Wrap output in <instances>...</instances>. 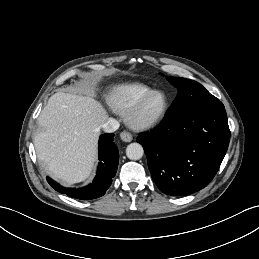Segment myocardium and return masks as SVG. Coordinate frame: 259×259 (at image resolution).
<instances>
[{
	"mask_svg": "<svg viewBox=\"0 0 259 259\" xmlns=\"http://www.w3.org/2000/svg\"><path fill=\"white\" fill-rule=\"evenodd\" d=\"M162 94L165 98L164 108L159 115L152 119H142L140 117L141 111L147 100L154 94ZM170 107V101L168 95L160 89L149 91L142 98H140L127 112L125 115V122L127 125L136 131H145L159 125L166 117Z\"/></svg>",
	"mask_w": 259,
	"mask_h": 259,
	"instance_id": "myocardium-1",
	"label": "myocardium"
}]
</instances>
